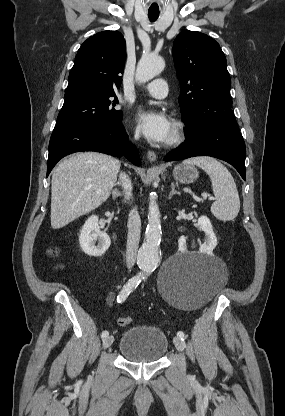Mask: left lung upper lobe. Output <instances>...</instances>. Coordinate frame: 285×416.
Returning <instances> with one entry per match:
<instances>
[{"label": "left lung upper lobe", "mask_w": 285, "mask_h": 416, "mask_svg": "<svg viewBox=\"0 0 285 416\" xmlns=\"http://www.w3.org/2000/svg\"><path fill=\"white\" fill-rule=\"evenodd\" d=\"M173 59L186 136L217 122L236 121L226 57L214 39L197 31H183L173 43Z\"/></svg>", "instance_id": "left-lung-upper-lobe-1"}]
</instances>
